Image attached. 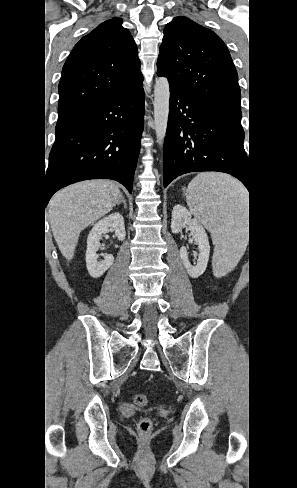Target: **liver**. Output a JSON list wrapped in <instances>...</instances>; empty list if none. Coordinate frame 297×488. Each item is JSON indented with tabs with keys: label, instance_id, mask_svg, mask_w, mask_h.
Wrapping results in <instances>:
<instances>
[{
	"label": "liver",
	"instance_id": "1",
	"mask_svg": "<svg viewBox=\"0 0 297 488\" xmlns=\"http://www.w3.org/2000/svg\"><path fill=\"white\" fill-rule=\"evenodd\" d=\"M118 186L107 180H88L57 192L49 202L48 219L62 255L72 260L79 235L119 203Z\"/></svg>",
	"mask_w": 297,
	"mask_h": 488
}]
</instances>
